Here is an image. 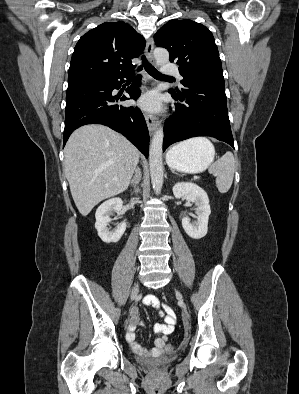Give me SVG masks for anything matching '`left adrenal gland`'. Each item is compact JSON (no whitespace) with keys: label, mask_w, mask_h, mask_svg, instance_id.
<instances>
[{"label":"left adrenal gland","mask_w":299,"mask_h":394,"mask_svg":"<svg viewBox=\"0 0 299 394\" xmlns=\"http://www.w3.org/2000/svg\"><path fill=\"white\" fill-rule=\"evenodd\" d=\"M171 172L174 173V174H177V173H176L174 170H172V169H171Z\"/></svg>","instance_id":"1"}]
</instances>
